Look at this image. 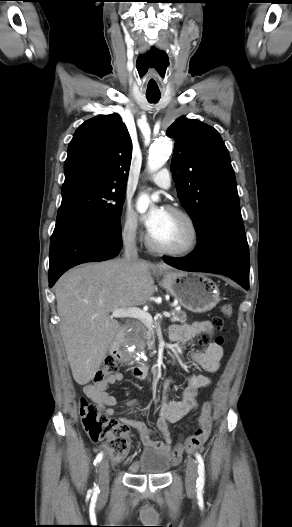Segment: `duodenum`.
<instances>
[{
  "instance_id": "410a0bca",
  "label": "duodenum",
  "mask_w": 292,
  "mask_h": 527,
  "mask_svg": "<svg viewBox=\"0 0 292 527\" xmlns=\"http://www.w3.org/2000/svg\"><path fill=\"white\" fill-rule=\"evenodd\" d=\"M124 335H125V328H122L116 335V339L112 347L113 353H115L116 355H120L121 353L120 352V342L123 339ZM146 372H147L146 367H137L134 369V373L138 377L144 376Z\"/></svg>"
}]
</instances>
